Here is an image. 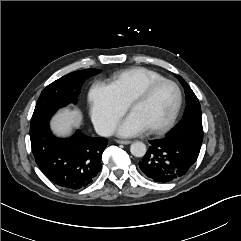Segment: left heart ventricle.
I'll use <instances>...</instances> for the list:
<instances>
[{
  "label": "left heart ventricle",
  "instance_id": "1",
  "mask_svg": "<svg viewBox=\"0 0 241 241\" xmlns=\"http://www.w3.org/2000/svg\"><path fill=\"white\" fill-rule=\"evenodd\" d=\"M177 103L176 89L170 84L159 86L151 96L136 104L135 113L148 128L165 124L172 116Z\"/></svg>",
  "mask_w": 241,
  "mask_h": 241
}]
</instances>
